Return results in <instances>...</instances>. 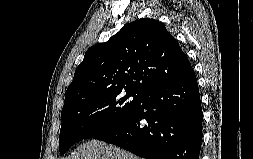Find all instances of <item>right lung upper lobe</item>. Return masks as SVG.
Listing matches in <instances>:
<instances>
[{"label": "right lung upper lobe", "instance_id": "obj_1", "mask_svg": "<svg viewBox=\"0 0 253 159\" xmlns=\"http://www.w3.org/2000/svg\"><path fill=\"white\" fill-rule=\"evenodd\" d=\"M192 71L186 54L165 25L142 18L87 50L66 91L64 104L108 91L144 95Z\"/></svg>", "mask_w": 253, "mask_h": 159}]
</instances>
